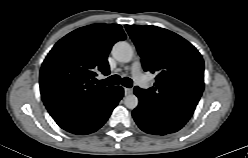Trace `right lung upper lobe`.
I'll return each mask as SVG.
<instances>
[{"label":"right lung upper lobe","mask_w":248,"mask_h":158,"mask_svg":"<svg viewBox=\"0 0 248 158\" xmlns=\"http://www.w3.org/2000/svg\"><path fill=\"white\" fill-rule=\"evenodd\" d=\"M126 35L118 24L78 28L59 40L40 70L42 100L54 118L80 111L112 87L95 85V70L110 73L107 57Z\"/></svg>","instance_id":"cb5924a9"}]
</instances>
